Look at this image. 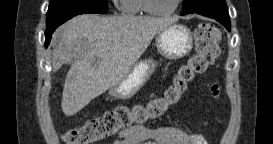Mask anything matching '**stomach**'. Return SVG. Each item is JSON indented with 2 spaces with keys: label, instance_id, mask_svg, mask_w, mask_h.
Segmentation results:
<instances>
[{
  "label": "stomach",
  "instance_id": "stomach-1",
  "mask_svg": "<svg viewBox=\"0 0 273 144\" xmlns=\"http://www.w3.org/2000/svg\"><path fill=\"white\" fill-rule=\"evenodd\" d=\"M158 53L167 59H179L187 55L193 46L190 29L182 24H171L156 36ZM156 68L153 59L136 62L129 73L114 87L110 96L125 100L135 95L148 81Z\"/></svg>",
  "mask_w": 273,
  "mask_h": 144
}]
</instances>
